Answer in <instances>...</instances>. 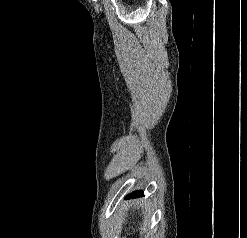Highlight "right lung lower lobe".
Segmentation results:
<instances>
[{"label":"right lung lower lobe","instance_id":"obj_1","mask_svg":"<svg viewBox=\"0 0 247 238\" xmlns=\"http://www.w3.org/2000/svg\"><path fill=\"white\" fill-rule=\"evenodd\" d=\"M142 195H143V193L141 191H137V192H134L133 194L129 195L128 198H135V197H139Z\"/></svg>","mask_w":247,"mask_h":238}]
</instances>
